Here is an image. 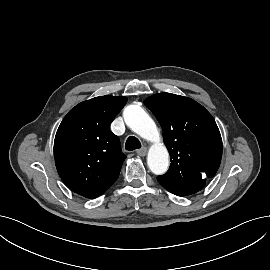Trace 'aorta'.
<instances>
[{
    "mask_svg": "<svg viewBox=\"0 0 270 270\" xmlns=\"http://www.w3.org/2000/svg\"><path fill=\"white\" fill-rule=\"evenodd\" d=\"M123 117L131 130L154 143L149 150L147 164L154 174H164L169 167V153L166 147L160 143V134L153 119L138 105L127 106Z\"/></svg>",
    "mask_w": 270,
    "mask_h": 270,
    "instance_id": "762f6f07",
    "label": "aorta"
}]
</instances>
